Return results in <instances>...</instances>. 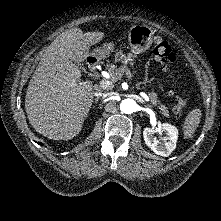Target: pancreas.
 Listing matches in <instances>:
<instances>
[{"mask_svg":"<svg viewBox=\"0 0 221 221\" xmlns=\"http://www.w3.org/2000/svg\"><path fill=\"white\" fill-rule=\"evenodd\" d=\"M118 61H122L124 65L117 68V66L114 64H107V70L112 78V83L119 80L122 77L124 72L130 75L128 67H127V63L132 64L133 59H131L130 56H126L121 51H119L115 55V62H118ZM111 88H113V84L107 89H111ZM148 96L150 98L151 103L154 106H157L163 115L168 116V109L166 106L160 104V101L158 100V95L154 91H151V92H148Z\"/></svg>","mask_w":221,"mask_h":221,"instance_id":"1","label":"pancreas"}]
</instances>
